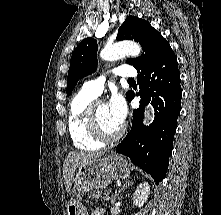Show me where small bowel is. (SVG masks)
I'll return each mask as SVG.
<instances>
[{
	"label": "small bowel",
	"instance_id": "c3829d8e",
	"mask_svg": "<svg viewBox=\"0 0 221 215\" xmlns=\"http://www.w3.org/2000/svg\"><path fill=\"white\" fill-rule=\"evenodd\" d=\"M94 215H100V213H99V212H96Z\"/></svg>",
	"mask_w": 221,
	"mask_h": 215
}]
</instances>
